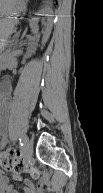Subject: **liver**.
<instances>
[{"instance_id": "liver-1", "label": "liver", "mask_w": 103, "mask_h": 193, "mask_svg": "<svg viewBox=\"0 0 103 193\" xmlns=\"http://www.w3.org/2000/svg\"><path fill=\"white\" fill-rule=\"evenodd\" d=\"M4 1H5V0H1V1H0V2H1V6L3 5Z\"/></svg>"}]
</instances>
